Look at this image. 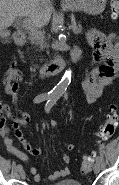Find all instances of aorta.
Here are the masks:
<instances>
[{
	"label": "aorta",
	"mask_w": 119,
	"mask_h": 185,
	"mask_svg": "<svg viewBox=\"0 0 119 185\" xmlns=\"http://www.w3.org/2000/svg\"><path fill=\"white\" fill-rule=\"evenodd\" d=\"M56 32H61V29L59 26L56 28ZM59 41L60 45L64 50H67L66 44H65V35L63 33L59 34ZM71 82V70H66L62 79L59 81V83L53 88L52 94L53 95H61L64 93V91L67 89V86Z\"/></svg>",
	"instance_id": "aorta-1"
}]
</instances>
